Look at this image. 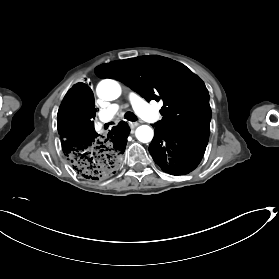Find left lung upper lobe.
I'll use <instances>...</instances> for the list:
<instances>
[{"label":"left lung upper lobe","mask_w":279,"mask_h":279,"mask_svg":"<svg viewBox=\"0 0 279 279\" xmlns=\"http://www.w3.org/2000/svg\"><path fill=\"white\" fill-rule=\"evenodd\" d=\"M99 78L125 83L148 102L162 100V120L154 124L168 132L209 137L211 108L203 81L183 64L158 55L102 64Z\"/></svg>","instance_id":"obj_1"}]
</instances>
